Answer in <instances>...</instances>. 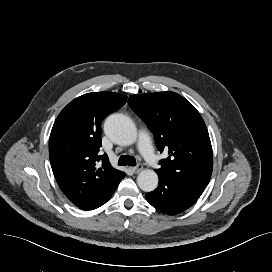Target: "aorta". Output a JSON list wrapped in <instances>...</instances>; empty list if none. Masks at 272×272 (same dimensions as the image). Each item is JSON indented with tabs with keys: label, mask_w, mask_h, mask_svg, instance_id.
I'll list each match as a JSON object with an SVG mask.
<instances>
[{
	"label": "aorta",
	"mask_w": 272,
	"mask_h": 272,
	"mask_svg": "<svg viewBox=\"0 0 272 272\" xmlns=\"http://www.w3.org/2000/svg\"><path fill=\"white\" fill-rule=\"evenodd\" d=\"M106 135L115 143L130 145L137 138V129L132 120L123 114L110 115L104 124ZM139 188L145 192H151L157 188L158 175L155 171L145 169L137 176Z\"/></svg>",
	"instance_id": "aorta-1"
}]
</instances>
